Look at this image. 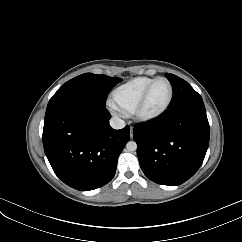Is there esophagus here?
Listing matches in <instances>:
<instances>
[{"label":"esophagus","mask_w":242,"mask_h":242,"mask_svg":"<svg viewBox=\"0 0 242 242\" xmlns=\"http://www.w3.org/2000/svg\"><path fill=\"white\" fill-rule=\"evenodd\" d=\"M130 137H131V138L133 137V130H132V128H131V130H130Z\"/></svg>","instance_id":"esophagus-1"}]
</instances>
